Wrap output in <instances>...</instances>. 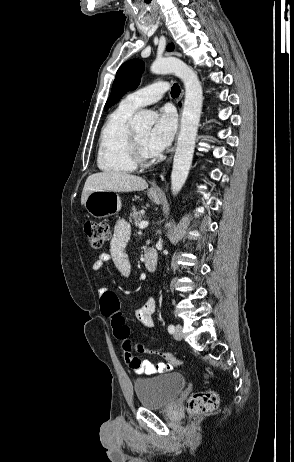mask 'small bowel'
<instances>
[{"label":"small bowel","mask_w":294,"mask_h":462,"mask_svg":"<svg viewBox=\"0 0 294 462\" xmlns=\"http://www.w3.org/2000/svg\"><path fill=\"white\" fill-rule=\"evenodd\" d=\"M130 239V227L125 221H119L115 228L113 238L109 246V252L101 253L97 260L93 263L92 269L100 271L103 265L109 261H113L115 267L123 277H129L132 272V266L128 255L126 253V246ZM109 291L108 288L103 287L99 289V294L102 296ZM157 308L156 298H149L145 303L135 311L137 320L147 329L154 326L153 314ZM173 365L169 361L159 362L154 364L149 360H141L140 365L132 368L138 374L154 375L171 371Z\"/></svg>","instance_id":"1"}]
</instances>
